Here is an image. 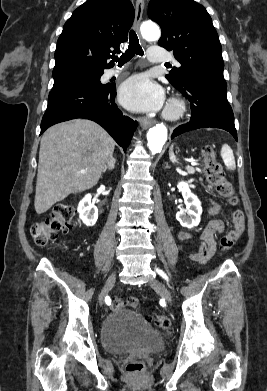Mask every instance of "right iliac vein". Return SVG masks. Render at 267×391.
Listing matches in <instances>:
<instances>
[{
    "mask_svg": "<svg viewBox=\"0 0 267 391\" xmlns=\"http://www.w3.org/2000/svg\"><path fill=\"white\" fill-rule=\"evenodd\" d=\"M115 280H116V273L113 272L112 274H110V276L106 280L105 285H104V287L101 290V293L99 295V303H100V305H102L104 303V300H105L108 292L110 291V289L113 287V285L115 283Z\"/></svg>",
    "mask_w": 267,
    "mask_h": 391,
    "instance_id": "right-iliac-vein-1",
    "label": "right iliac vein"
}]
</instances>
